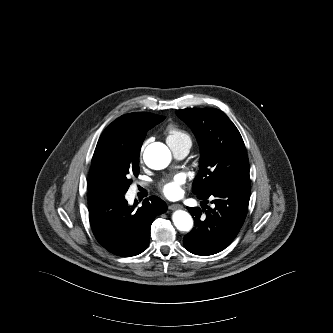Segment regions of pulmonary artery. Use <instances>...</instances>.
Returning <instances> with one entry per match:
<instances>
[{"instance_id": "pulmonary-artery-1", "label": "pulmonary artery", "mask_w": 333, "mask_h": 333, "mask_svg": "<svg viewBox=\"0 0 333 333\" xmlns=\"http://www.w3.org/2000/svg\"><path fill=\"white\" fill-rule=\"evenodd\" d=\"M171 149L173 151L174 156L177 159H183L189 153L190 146L189 145L174 146L171 147Z\"/></svg>"}]
</instances>
